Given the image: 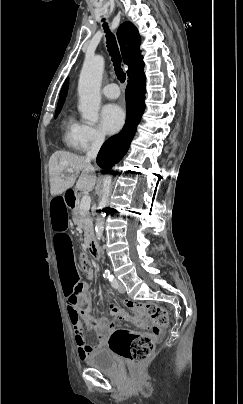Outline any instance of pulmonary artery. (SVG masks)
<instances>
[{
    "instance_id": "1",
    "label": "pulmonary artery",
    "mask_w": 243,
    "mask_h": 404,
    "mask_svg": "<svg viewBox=\"0 0 243 404\" xmlns=\"http://www.w3.org/2000/svg\"><path fill=\"white\" fill-rule=\"evenodd\" d=\"M103 94L110 98V99H115L117 97H119L120 95V88L117 84L115 83H111L106 85L103 90H102Z\"/></svg>"
}]
</instances>
